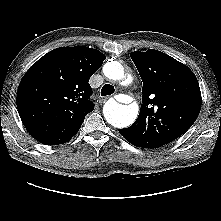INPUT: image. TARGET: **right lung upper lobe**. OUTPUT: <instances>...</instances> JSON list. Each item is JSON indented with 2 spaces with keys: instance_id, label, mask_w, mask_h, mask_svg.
I'll list each match as a JSON object with an SVG mask.
<instances>
[{
  "instance_id": "cb5924a9",
  "label": "right lung upper lobe",
  "mask_w": 221,
  "mask_h": 221,
  "mask_svg": "<svg viewBox=\"0 0 221 221\" xmlns=\"http://www.w3.org/2000/svg\"><path fill=\"white\" fill-rule=\"evenodd\" d=\"M84 46L61 47L40 58L26 72L17 92V108L27 131L39 142H68L93 111L90 77L105 60Z\"/></svg>"
}]
</instances>
